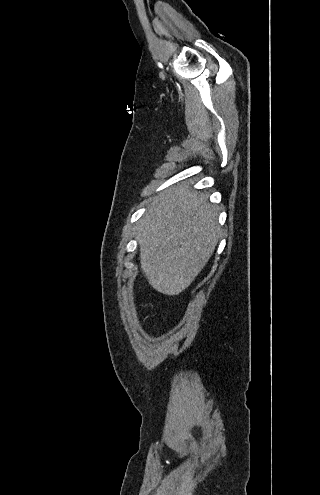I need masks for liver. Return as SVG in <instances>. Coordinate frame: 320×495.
Here are the masks:
<instances>
[{
    "instance_id": "liver-1",
    "label": "liver",
    "mask_w": 320,
    "mask_h": 495,
    "mask_svg": "<svg viewBox=\"0 0 320 495\" xmlns=\"http://www.w3.org/2000/svg\"><path fill=\"white\" fill-rule=\"evenodd\" d=\"M219 234L215 207L189 186L179 185L154 201L136 236L149 284L165 295L180 294L210 259Z\"/></svg>"
}]
</instances>
